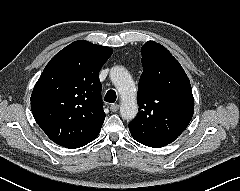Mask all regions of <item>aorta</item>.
<instances>
[{
    "label": "aorta",
    "mask_w": 240,
    "mask_h": 191,
    "mask_svg": "<svg viewBox=\"0 0 240 191\" xmlns=\"http://www.w3.org/2000/svg\"><path fill=\"white\" fill-rule=\"evenodd\" d=\"M110 79L121 96L120 115L125 120H132L138 113L135 84L129 72L121 66H114Z\"/></svg>",
    "instance_id": "aorta-1"
}]
</instances>
